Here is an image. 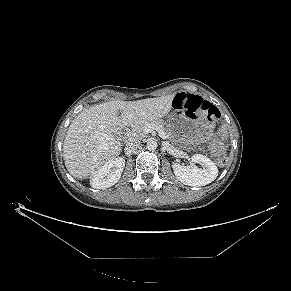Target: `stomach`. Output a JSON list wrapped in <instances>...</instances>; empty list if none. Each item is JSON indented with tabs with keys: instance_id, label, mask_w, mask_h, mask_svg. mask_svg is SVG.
<instances>
[{
	"instance_id": "1",
	"label": "stomach",
	"mask_w": 291,
	"mask_h": 291,
	"mask_svg": "<svg viewBox=\"0 0 291 291\" xmlns=\"http://www.w3.org/2000/svg\"><path fill=\"white\" fill-rule=\"evenodd\" d=\"M167 121L172 129H186L188 136L197 140L207 139L213 131L210 123L200 119H191L184 114L168 115Z\"/></svg>"
}]
</instances>
